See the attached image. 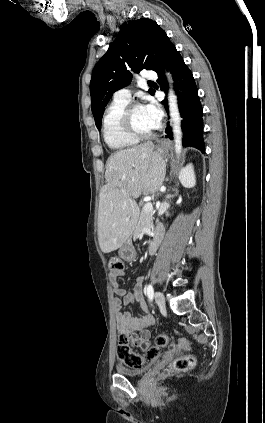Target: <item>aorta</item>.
I'll return each instance as SVG.
<instances>
[{
  "label": "aorta",
  "mask_w": 265,
  "mask_h": 423,
  "mask_svg": "<svg viewBox=\"0 0 265 423\" xmlns=\"http://www.w3.org/2000/svg\"><path fill=\"white\" fill-rule=\"evenodd\" d=\"M167 80L169 83L168 102L170 117L173 126L175 152L179 157L182 149V130H181V116L178 108L177 96L173 90V80L170 73H166Z\"/></svg>",
  "instance_id": "obj_1"
}]
</instances>
